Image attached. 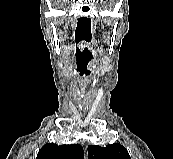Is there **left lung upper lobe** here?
Wrapping results in <instances>:
<instances>
[{
    "mask_svg": "<svg viewBox=\"0 0 173 159\" xmlns=\"http://www.w3.org/2000/svg\"><path fill=\"white\" fill-rule=\"evenodd\" d=\"M88 155L89 159H131L127 149L116 143L106 147L90 145Z\"/></svg>",
    "mask_w": 173,
    "mask_h": 159,
    "instance_id": "left-lung-upper-lobe-1",
    "label": "left lung upper lobe"
}]
</instances>
